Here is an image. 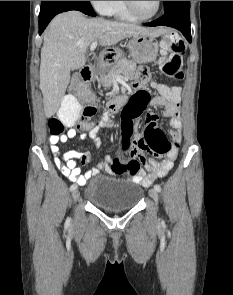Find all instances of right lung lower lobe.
<instances>
[{"label":"right lung lower lobe","instance_id":"right-lung-lower-lobe-1","mask_svg":"<svg viewBox=\"0 0 233 295\" xmlns=\"http://www.w3.org/2000/svg\"><path fill=\"white\" fill-rule=\"evenodd\" d=\"M78 10L90 16H96L89 1H42L39 14V34L58 13Z\"/></svg>","mask_w":233,"mask_h":295}]
</instances>
